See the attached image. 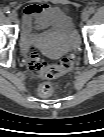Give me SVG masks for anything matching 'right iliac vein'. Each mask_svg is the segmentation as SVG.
Here are the masks:
<instances>
[{
  "instance_id": "right-iliac-vein-1",
  "label": "right iliac vein",
  "mask_w": 104,
  "mask_h": 137,
  "mask_svg": "<svg viewBox=\"0 0 104 137\" xmlns=\"http://www.w3.org/2000/svg\"><path fill=\"white\" fill-rule=\"evenodd\" d=\"M17 17H18V15H17V13H16L15 11L10 12L9 18H10L12 21H16V20H17Z\"/></svg>"
}]
</instances>
